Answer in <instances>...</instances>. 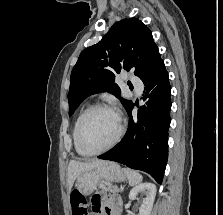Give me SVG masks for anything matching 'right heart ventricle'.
<instances>
[{
    "mask_svg": "<svg viewBox=\"0 0 223 215\" xmlns=\"http://www.w3.org/2000/svg\"><path fill=\"white\" fill-rule=\"evenodd\" d=\"M89 108L86 107L84 109H82L79 114L77 115L76 119H75V122H74V125H73V128H72V140H73V144H74V148L76 150V152L81 155V156H88L86 154L83 153V151L80 149V147L78 146V143H77V129H78V125L82 119V117L84 116V114L87 112Z\"/></svg>",
    "mask_w": 223,
    "mask_h": 215,
    "instance_id": "obj_1",
    "label": "right heart ventricle"
}]
</instances>
